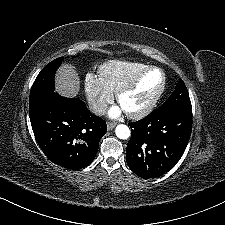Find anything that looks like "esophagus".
I'll return each mask as SVG.
<instances>
[{
  "label": "esophagus",
  "instance_id": "esophagus-1",
  "mask_svg": "<svg viewBox=\"0 0 225 225\" xmlns=\"http://www.w3.org/2000/svg\"><path fill=\"white\" fill-rule=\"evenodd\" d=\"M116 124H117L116 122H109L107 124V129L112 130L116 126Z\"/></svg>",
  "mask_w": 225,
  "mask_h": 225
}]
</instances>
